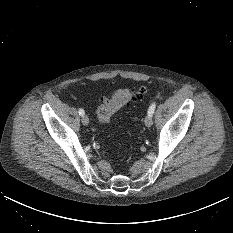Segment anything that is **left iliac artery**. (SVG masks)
Wrapping results in <instances>:
<instances>
[{"instance_id":"left-iliac-artery-1","label":"left iliac artery","mask_w":233,"mask_h":233,"mask_svg":"<svg viewBox=\"0 0 233 233\" xmlns=\"http://www.w3.org/2000/svg\"><path fill=\"white\" fill-rule=\"evenodd\" d=\"M155 108H156V103L153 102L148 109V114L152 116L155 111Z\"/></svg>"}]
</instances>
